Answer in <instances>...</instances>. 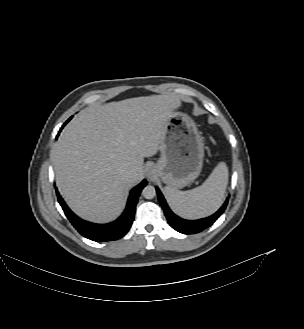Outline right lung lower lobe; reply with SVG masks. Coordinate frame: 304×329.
Here are the masks:
<instances>
[{"label":"right lung lower lobe","mask_w":304,"mask_h":329,"mask_svg":"<svg viewBox=\"0 0 304 329\" xmlns=\"http://www.w3.org/2000/svg\"><path fill=\"white\" fill-rule=\"evenodd\" d=\"M60 130H62V128ZM146 184L147 181L143 180L131 190L126 209L116 221L102 225L90 223L77 217L65 204L57 190L56 192L58 201L64 210L65 215L81 235L97 242L113 241L121 238L129 231L134 219L139 194Z\"/></svg>","instance_id":"1"}]
</instances>
